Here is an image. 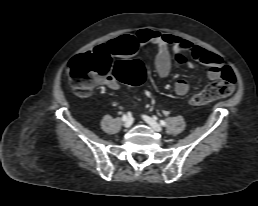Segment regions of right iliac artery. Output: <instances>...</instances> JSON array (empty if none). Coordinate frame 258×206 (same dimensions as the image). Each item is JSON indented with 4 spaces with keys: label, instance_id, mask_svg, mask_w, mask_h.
Here are the masks:
<instances>
[{
    "label": "right iliac artery",
    "instance_id": "right-iliac-artery-1",
    "mask_svg": "<svg viewBox=\"0 0 258 206\" xmlns=\"http://www.w3.org/2000/svg\"><path fill=\"white\" fill-rule=\"evenodd\" d=\"M126 118H127V116L124 114V115L122 116V120L125 121Z\"/></svg>",
    "mask_w": 258,
    "mask_h": 206
}]
</instances>
